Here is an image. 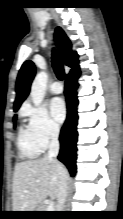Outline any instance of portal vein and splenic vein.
Returning a JSON list of instances; mask_svg holds the SVG:
<instances>
[{
  "instance_id": "1",
  "label": "portal vein and splenic vein",
  "mask_w": 123,
  "mask_h": 219,
  "mask_svg": "<svg viewBox=\"0 0 123 219\" xmlns=\"http://www.w3.org/2000/svg\"><path fill=\"white\" fill-rule=\"evenodd\" d=\"M46 211H54V205H53L52 203H50V204L47 206Z\"/></svg>"
}]
</instances>
